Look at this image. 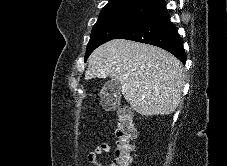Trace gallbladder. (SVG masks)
Wrapping results in <instances>:
<instances>
[{
    "label": "gallbladder",
    "mask_w": 227,
    "mask_h": 166,
    "mask_svg": "<svg viewBox=\"0 0 227 166\" xmlns=\"http://www.w3.org/2000/svg\"><path fill=\"white\" fill-rule=\"evenodd\" d=\"M121 97V84L116 79L107 81L100 92L101 104L107 110L114 109Z\"/></svg>",
    "instance_id": "1"
}]
</instances>
